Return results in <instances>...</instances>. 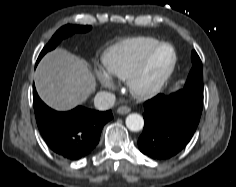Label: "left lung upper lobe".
Returning a JSON list of instances; mask_svg holds the SVG:
<instances>
[{
  "instance_id": "5c2ea615",
  "label": "left lung upper lobe",
  "mask_w": 236,
  "mask_h": 187,
  "mask_svg": "<svg viewBox=\"0 0 236 187\" xmlns=\"http://www.w3.org/2000/svg\"><path fill=\"white\" fill-rule=\"evenodd\" d=\"M191 60L193 63V67L190 70L183 90L203 100L202 62L196 51H192Z\"/></svg>"
}]
</instances>
